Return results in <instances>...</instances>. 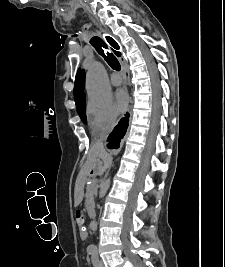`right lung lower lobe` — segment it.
Wrapping results in <instances>:
<instances>
[{
	"label": "right lung lower lobe",
	"mask_w": 225,
	"mask_h": 267,
	"mask_svg": "<svg viewBox=\"0 0 225 267\" xmlns=\"http://www.w3.org/2000/svg\"><path fill=\"white\" fill-rule=\"evenodd\" d=\"M128 117H129V115H126V118L122 119L119 122V124L115 127L113 132L108 137V141H109V144L107 145L108 148H117L118 147L119 141H120V137H119L120 136V130L124 124L128 123Z\"/></svg>",
	"instance_id": "98d812e1"
}]
</instances>
